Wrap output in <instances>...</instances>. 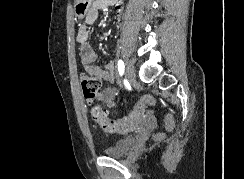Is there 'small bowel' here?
I'll list each match as a JSON object with an SVG mask.
<instances>
[{"label": "small bowel", "instance_id": "1", "mask_svg": "<svg viewBox=\"0 0 244 179\" xmlns=\"http://www.w3.org/2000/svg\"><path fill=\"white\" fill-rule=\"evenodd\" d=\"M108 6H112L115 11V17L118 22L122 20L123 16V8L122 4L118 1H109V0H92V3H89V7H85L89 9L87 18H79L81 20L77 41L80 48V62L82 64L83 69L87 73L94 74L98 76L101 80H104L108 83H113L115 80V62L107 61L103 67L95 65L94 62L97 59L96 50L90 45V27L97 20L99 12L104 10ZM114 96L115 89L111 86L104 88L101 92L98 93L97 99L107 107H114ZM130 116H141V121L139 123H143L142 120L145 119L143 112L141 114H131ZM145 126H152V121L150 116L146 117ZM137 126H126L131 127V130L136 128Z\"/></svg>", "mask_w": 244, "mask_h": 179}]
</instances>
